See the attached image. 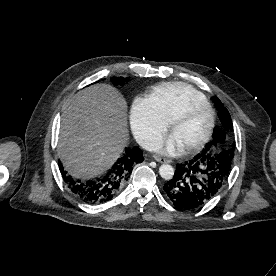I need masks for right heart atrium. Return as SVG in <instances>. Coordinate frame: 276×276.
Returning <instances> with one entry per match:
<instances>
[{"mask_svg": "<svg viewBox=\"0 0 276 276\" xmlns=\"http://www.w3.org/2000/svg\"><path fill=\"white\" fill-rule=\"evenodd\" d=\"M131 124L136 138L148 149L160 142L168 128V123L158 115L151 103L142 98L133 103Z\"/></svg>", "mask_w": 276, "mask_h": 276, "instance_id": "obj_1", "label": "right heart atrium"}]
</instances>
